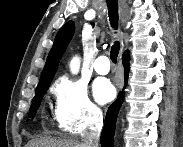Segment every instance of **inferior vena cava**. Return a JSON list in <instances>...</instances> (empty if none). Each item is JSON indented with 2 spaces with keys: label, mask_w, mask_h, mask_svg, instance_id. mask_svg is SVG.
<instances>
[{
  "label": "inferior vena cava",
  "mask_w": 183,
  "mask_h": 147,
  "mask_svg": "<svg viewBox=\"0 0 183 147\" xmlns=\"http://www.w3.org/2000/svg\"><path fill=\"white\" fill-rule=\"evenodd\" d=\"M102 126V112L98 110L94 113L90 126L82 134V141L86 147H98Z\"/></svg>",
  "instance_id": "1"
}]
</instances>
